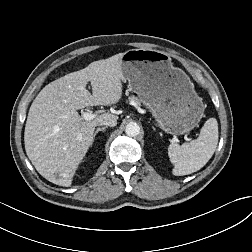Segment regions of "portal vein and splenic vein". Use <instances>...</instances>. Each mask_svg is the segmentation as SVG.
<instances>
[{
	"mask_svg": "<svg viewBox=\"0 0 252 252\" xmlns=\"http://www.w3.org/2000/svg\"><path fill=\"white\" fill-rule=\"evenodd\" d=\"M82 116L85 120H92L95 118V114H92L91 112H83Z\"/></svg>",
	"mask_w": 252,
	"mask_h": 252,
	"instance_id": "obj_1",
	"label": "portal vein and splenic vein"
}]
</instances>
